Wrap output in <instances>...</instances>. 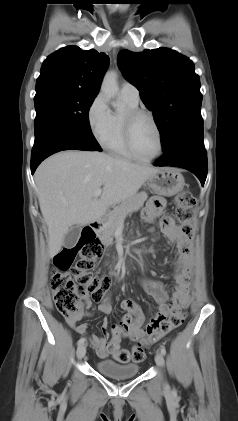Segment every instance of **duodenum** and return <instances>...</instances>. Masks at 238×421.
<instances>
[{
  "label": "duodenum",
  "instance_id": "410a0bca",
  "mask_svg": "<svg viewBox=\"0 0 238 421\" xmlns=\"http://www.w3.org/2000/svg\"><path fill=\"white\" fill-rule=\"evenodd\" d=\"M103 226V221L101 219L94 220L86 229L84 233H91L94 234L98 232Z\"/></svg>",
  "mask_w": 238,
  "mask_h": 421
}]
</instances>
